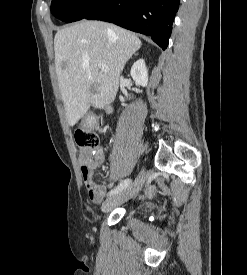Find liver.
<instances>
[{"label":"liver","mask_w":247,"mask_h":275,"mask_svg":"<svg viewBox=\"0 0 247 275\" xmlns=\"http://www.w3.org/2000/svg\"><path fill=\"white\" fill-rule=\"evenodd\" d=\"M141 45L126 29L100 21H81L56 33L55 68L70 126L91 106L101 109L114 101L120 73Z\"/></svg>","instance_id":"1"}]
</instances>
